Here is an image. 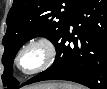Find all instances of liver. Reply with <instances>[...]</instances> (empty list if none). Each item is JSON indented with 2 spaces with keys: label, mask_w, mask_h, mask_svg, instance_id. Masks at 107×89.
Wrapping results in <instances>:
<instances>
[{
  "label": "liver",
  "mask_w": 107,
  "mask_h": 89,
  "mask_svg": "<svg viewBox=\"0 0 107 89\" xmlns=\"http://www.w3.org/2000/svg\"><path fill=\"white\" fill-rule=\"evenodd\" d=\"M60 87H62V85L59 84V83H48V84H43V85L32 86L30 88H37V89H60Z\"/></svg>",
  "instance_id": "1"
}]
</instances>
